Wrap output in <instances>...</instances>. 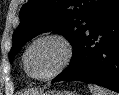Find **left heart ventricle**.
I'll return each instance as SVG.
<instances>
[{
    "instance_id": "left-heart-ventricle-1",
    "label": "left heart ventricle",
    "mask_w": 119,
    "mask_h": 95,
    "mask_svg": "<svg viewBox=\"0 0 119 95\" xmlns=\"http://www.w3.org/2000/svg\"><path fill=\"white\" fill-rule=\"evenodd\" d=\"M64 58V47L56 40H44L37 43L28 56V66L32 74L44 77L60 65Z\"/></svg>"
}]
</instances>
